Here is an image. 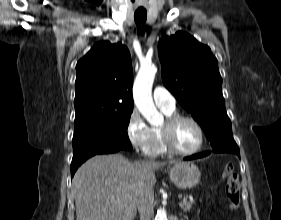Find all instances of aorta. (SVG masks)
<instances>
[{
	"instance_id": "1",
	"label": "aorta",
	"mask_w": 281,
	"mask_h": 220,
	"mask_svg": "<svg viewBox=\"0 0 281 220\" xmlns=\"http://www.w3.org/2000/svg\"><path fill=\"white\" fill-rule=\"evenodd\" d=\"M156 72L157 68L153 64L142 66L133 85L135 105L151 125H157L163 121V116L157 111L152 98V85ZM155 220H168L164 208L157 211Z\"/></svg>"
}]
</instances>
